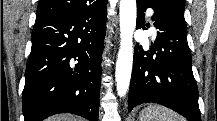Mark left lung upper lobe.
Wrapping results in <instances>:
<instances>
[{
	"label": "left lung upper lobe",
	"instance_id": "1",
	"mask_svg": "<svg viewBox=\"0 0 217 121\" xmlns=\"http://www.w3.org/2000/svg\"><path fill=\"white\" fill-rule=\"evenodd\" d=\"M162 5L171 15L186 27L184 19V0H155Z\"/></svg>",
	"mask_w": 217,
	"mask_h": 121
}]
</instances>
